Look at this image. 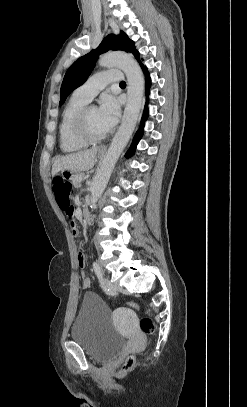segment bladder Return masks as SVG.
Returning a JSON list of instances; mask_svg holds the SVG:
<instances>
[{"mask_svg": "<svg viewBox=\"0 0 247 407\" xmlns=\"http://www.w3.org/2000/svg\"><path fill=\"white\" fill-rule=\"evenodd\" d=\"M71 339L95 360L107 361L124 348L126 337L112 323V310L94 293H85Z\"/></svg>", "mask_w": 247, "mask_h": 407, "instance_id": "obj_1", "label": "bladder"}]
</instances>
